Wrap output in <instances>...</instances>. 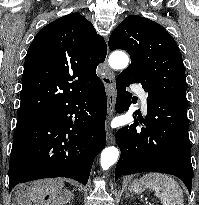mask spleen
I'll list each match as a JSON object with an SVG mask.
<instances>
[{
  "label": "spleen",
  "instance_id": "3e777b00",
  "mask_svg": "<svg viewBox=\"0 0 199 205\" xmlns=\"http://www.w3.org/2000/svg\"><path fill=\"white\" fill-rule=\"evenodd\" d=\"M141 181L155 191L163 205H184L183 191L170 176L161 173H147Z\"/></svg>",
  "mask_w": 199,
  "mask_h": 205
}]
</instances>
